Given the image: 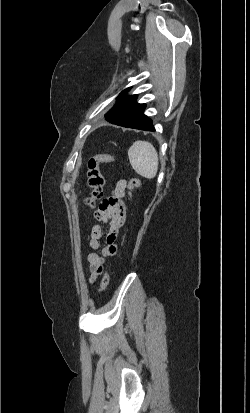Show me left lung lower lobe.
Instances as JSON below:
<instances>
[{"instance_id": "1", "label": "left lung lower lobe", "mask_w": 250, "mask_h": 413, "mask_svg": "<svg viewBox=\"0 0 250 413\" xmlns=\"http://www.w3.org/2000/svg\"><path fill=\"white\" fill-rule=\"evenodd\" d=\"M137 95L125 97L117 112L105 117L112 124L140 129L145 131H155L152 121L144 115L145 104L136 102Z\"/></svg>"}]
</instances>
